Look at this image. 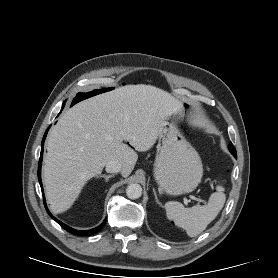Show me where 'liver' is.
Listing matches in <instances>:
<instances>
[{
  "label": "liver",
  "instance_id": "6515ba94",
  "mask_svg": "<svg viewBox=\"0 0 278 278\" xmlns=\"http://www.w3.org/2000/svg\"><path fill=\"white\" fill-rule=\"evenodd\" d=\"M181 111L171 94L143 84L125 85L68 109L47 138L43 181L51 210H68L111 160L121 163L123 177L129 176L138 159L135 150H149L165 121Z\"/></svg>",
  "mask_w": 278,
  "mask_h": 278
}]
</instances>
